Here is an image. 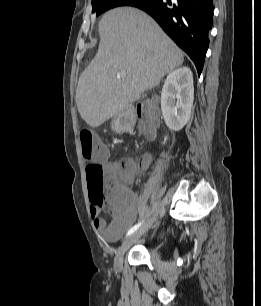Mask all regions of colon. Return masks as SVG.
<instances>
[{
    "label": "colon",
    "mask_w": 261,
    "mask_h": 306,
    "mask_svg": "<svg viewBox=\"0 0 261 306\" xmlns=\"http://www.w3.org/2000/svg\"><path fill=\"white\" fill-rule=\"evenodd\" d=\"M132 115L136 118L139 131L144 137H152L155 130L157 115L150 103H144L135 106ZM123 123H125L123 121ZM81 153L83 160L87 163V181L88 189L92 198L108 197L110 199L120 196L121 193H115L112 189L115 174L114 168L108 167L102 162L107 157V150L104 146L97 145L93 134L89 130H82L80 133Z\"/></svg>",
    "instance_id": "colon-1"
}]
</instances>
